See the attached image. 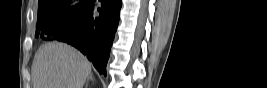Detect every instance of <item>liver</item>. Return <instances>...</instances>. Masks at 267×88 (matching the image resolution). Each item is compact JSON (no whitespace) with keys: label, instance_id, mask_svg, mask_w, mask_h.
Segmentation results:
<instances>
[{"label":"liver","instance_id":"obj_1","mask_svg":"<svg viewBox=\"0 0 267 88\" xmlns=\"http://www.w3.org/2000/svg\"><path fill=\"white\" fill-rule=\"evenodd\" d=\"M90 73V63L77 49L51 42L35 54L32 81L34 88H83Z\"/></svg>","mask_w":267,"mask_h":88}]
</instances>
